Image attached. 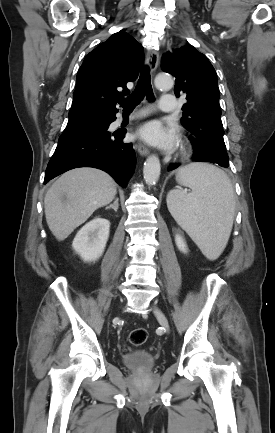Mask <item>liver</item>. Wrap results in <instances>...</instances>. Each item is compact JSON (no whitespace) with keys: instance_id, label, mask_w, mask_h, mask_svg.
<instances>
[{"instance_id":"liver-1","label":"liver","mask_w":275,"mask_h":433,"mask_svg":"<svg viewBox=\"0 0 275 433\" xmlns=\"http://www.w3.org/2000/svg\"><path fill=\"white\" fill-rule=\"evenodd\" d=\"M116 193L114 180L104 171L89 167L67 171L44 198L50 231L57 240H65L95 210L112 202Z\"/></svg>"}]
</instances>
